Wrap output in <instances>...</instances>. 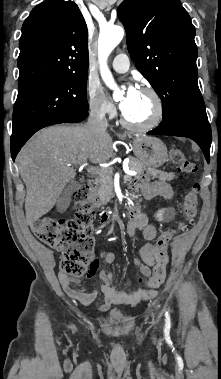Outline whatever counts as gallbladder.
Masks as SVG:
<instances>
[{
	"mask_svg": "<svg viewBox=\"0 0 221 379\" xmlns=\"http://www.w3.org/2000/svg\"><path fill=\"white\" fill-rule=\"evenodd\" d=\"M78 189V183L75 181L70 182L63 190L56 202L58 212H65L70 204L72 194Z\"/></svg>",
	"mask_w": 221,
	"mask_h": 379,
	"instance_id": "1",
	"label": "gallbladder"
}]
</instances>
